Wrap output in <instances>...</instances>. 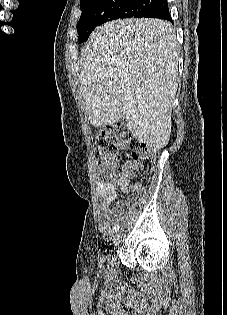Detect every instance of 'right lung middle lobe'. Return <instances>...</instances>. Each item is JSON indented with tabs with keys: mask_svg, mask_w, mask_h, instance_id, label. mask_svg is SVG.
Here are the masks:
<instances>
[{
	"mask_svg": "<svg viewBox=\"0 0 227 315\" xmlns=\"http://www.w3.org/2000/svg\"><path fill=\"white\" fill-rule=\"evenodd\" d=\"M159 0H82L77 25L79 43L99 25L115 19L142 18Z\"/></svg>",
	"mask_w": 227,
	"mask_h": 315,
	"instance_id": "dd1d6c3e",
	"label": "right lung middle lobe"
}]
</instances>
